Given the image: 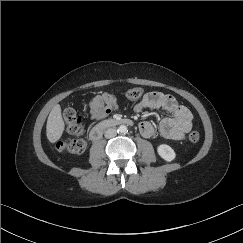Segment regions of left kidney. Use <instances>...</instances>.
I'll return each mask as SVG.
<instances>
[{
	"instance_id": "1",
	"label": "left kidney",
	"mask_w": 243,
	"mask_h": 243,
	"mask_svg": "<svg viewBox=\"0 0 243 243\" xmlns=\"http://www.w3.org/2000/svg\"><path fill=\"white\" fill-rule=\"evenodd\" d=\"M157 152L159 156L167 162H171L176 157L174 150L169 145L166 144L159 145L157 147Z\"/></svg>"
}]
</instances>
